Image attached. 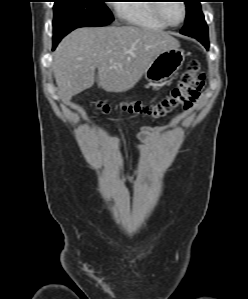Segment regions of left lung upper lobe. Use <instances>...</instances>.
Segmentation results:
<instances>
[{"mask_svg":"<svg viewBox=\"0 0 248 299\" xmlns=\"http://www.w3.org/2000/svg\"><path fill=\"white\" fill-rule=\"evenodd\" d=\"M200 1L184 0L186 4V20L180 33L196 38L206 47L209 45L208 27L201 11Z\"/></svg>","mask_w":248,"mask_h":299,"instance_id":"obj_1","label":"left lung upper lobe"}]
</instances>
